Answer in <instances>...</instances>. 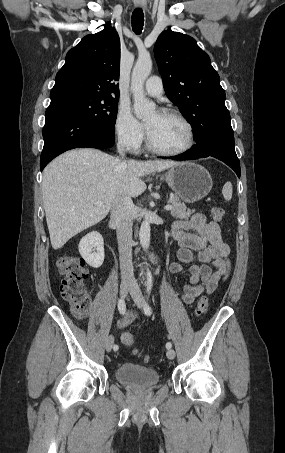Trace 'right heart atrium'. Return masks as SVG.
<instances>
[{"label":"right heart atrium","mask_w":285,"mask_h":453,"mask_svg":"<svg viewBox=\"0 0 285 453\" xmlns=\"http://www.w3.org/2000/svg\"><path fill=\"white\" fill-rule=\"evenodd\" d=\"M114 131L118 142L132 152L140 149L145 138L143 126L126 107L119 108Z\"/></svg>","instance_id":"right-heart-atrium-1"}]
</instances>
